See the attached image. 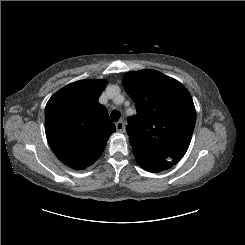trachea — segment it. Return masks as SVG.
I'll list each match as a JSON object with an SVG mask.
<instances>
[{"mask_svg": "<svg viewBox=\"0 0 245 245\" xmlns=\"http://www.w3.org/2000/svg\"><path fill=\"white\" fill-rule=\"evenodd\" d=\"M120 116H121V114L117 110H114V111L111 112V120L113 122H117L120 119Z\"/></svg>", "mask_w": 245, "mask_h": 245, "instance_id": "trachea-1", "label": "trachea"}]
</instances>
